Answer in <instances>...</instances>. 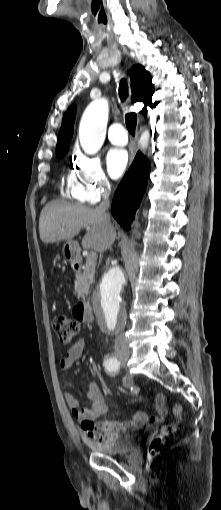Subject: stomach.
Here are the masks:
<instances>
[{
	"mask_svg": "<svg viewBox=\"0 0 221 510\" xmlns=\"http://www.w3.org/2000/svg\"><path fill=\"white\" fill-rule=\"evenodd\" d=\"M75 248H76V244L73 241H71V240L67 241L63 246L64 255L67 258H70L73 255Z\"/></svg>",
	"mask_w": 221,
	"mask_h": 510,
	"instance_id": "obj_1",
	"label": "stomach"
}]
</instances>
